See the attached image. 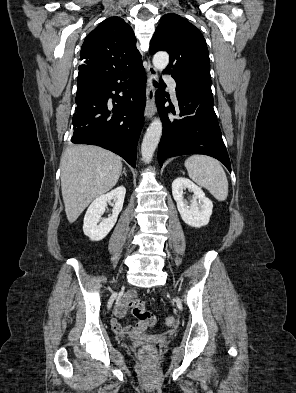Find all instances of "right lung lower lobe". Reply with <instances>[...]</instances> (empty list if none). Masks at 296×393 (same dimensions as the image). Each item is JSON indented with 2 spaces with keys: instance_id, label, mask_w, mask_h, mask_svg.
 Masks as SVG:
<instances>
[{
  "instance_id": "1",
  "label": "right lung lower lobe",
  "mask_w": 296,
  "mask_h": 393,
  "mask_svg": "<svg viewBox=\"0 0 296 393\" xmlns=\"http://www.w3.org/2000/svg\"><path fill=\"white\" fill-rule=\"evenodd\" d=\"M77 81L71 142L101 146L135 167L146 103L143 66L121 73H102L86 66L79 67ZM120 91L123 96L118 95ZM109 98L117 104L108 105Z\"/></svg>"
}]
</instances>
